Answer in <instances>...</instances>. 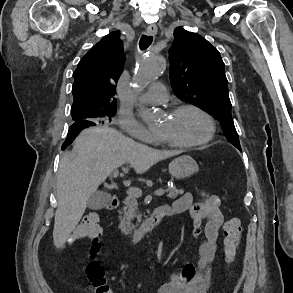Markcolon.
<instances>
[{"label":"colon","mask_w":293,"mask_h":293,"mask_svg":"<svg viewBox=\"0 0 293 293\" xmlns=\"http://www.w3.org/2000/svg\"><path fill=\"white\" fill-rule=\"evenodd\" d=\"M99 215L95 212L86 214L73 233L75 240L90 241V251L85 266V280L89 293H111V289L105 278V272L101 266L98 255L101 249L99 238L101 229ZM224 231V256L226 262L234 260L240 245L242 224L239 218L229 219L223 227Z\"/></svg>","instance_id":"1"}]
</instances>
